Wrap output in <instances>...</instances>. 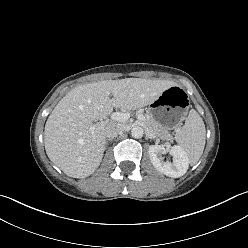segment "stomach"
Masks as SVG:
<instances>
[{
    "label": "stomach",
    "instance_id": "0dacf381",
    "mask_svg": "<svg viewBox=\"0 0 248 248\" xmlns=\"http://www.w3.org/2000/svg\"><path fill=\"white\" fill-rule=\"evenodd\" d=\"M189 109V98L184 88L171 86L163 91L149 104V117L167 128L177 129L186 118Z\"/></svg>",
    "mask_w": 248,
    "mask_h": 248
}]
</instances>
